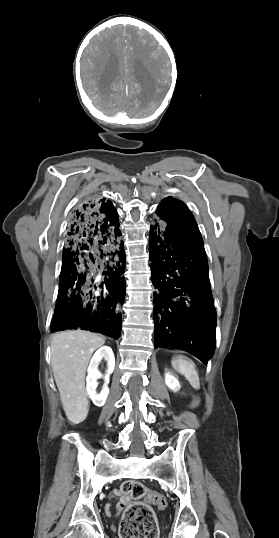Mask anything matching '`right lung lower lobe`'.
I'll use <instances>...</instances> for the list:
<instances>
[{"label": "right lung lower lobe", "instance_id": "right-lung-lower-lobe-1", "mask_svg": "<svg viewBox=\"0 0 279 538\" xmlns=\"http://www.w3.org/2000/svg\"><path fill=\"white\" fill-rule=\"evenodd\" d=\"M116 209L88 199L72 212L51 332L82 329L118 337L125 300V251Z\"/></svg>", "mask_w": 279, "mask_h": 538}]
</instances>
